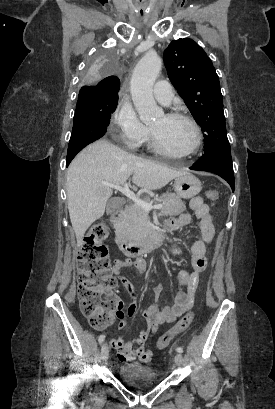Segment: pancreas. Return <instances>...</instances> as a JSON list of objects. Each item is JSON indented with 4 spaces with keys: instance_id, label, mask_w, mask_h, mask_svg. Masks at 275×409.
Instances as JSON below:
<instances>
[{
    "instance_id": "obj_1",
    "label": "pancreas",
    "mask_w": 275,
    "mask_h": 409,
    "mask_svg": "<svg viewBox=\"0 0 275 409\" xmlns=\"http://www.w3.org/2000/svg\"><path fill=\"white\" fill-rule=\"evenodd\" d=\"M144 200L150 202L151 198L145 196ZM152 202H159V205H163L161 215H181L183 211H186L183 200L175 192H164L162 196H158V200H152ZM114 227L116 235H122L128 243L140 241L152 231L148 215L139 205L126 207L124 215Z\"/></svg>"
}]
</instances>
